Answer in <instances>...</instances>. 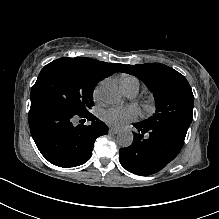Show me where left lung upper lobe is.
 Masks as SVG:
<instances>
[{"label": "left lung upper lobe", "instance_id": "left-lung-upper-lobe-1", "mask_svg": "<svg viewBox=\"0 0 219 219\" xmlns=\"http://www.w3.org/2000/svg\"><path fill=\"white\" fill-rule=\"evenodd\" d=\"M124 73L138 77L153 93L156 111L142 121L155 128L177 130L186 135L193 119L194 96L186 78L164 64L127 65Z\"/></svg>", "mask_w": 219, "mask_h": 219}]
</instances>
